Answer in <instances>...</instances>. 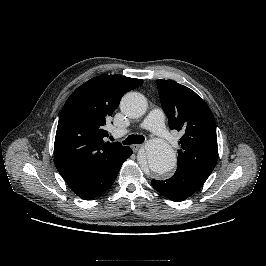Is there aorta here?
Here are the masks:
<instances>
[{"mask_svg":"<svg viewBox=\"0 0 266 266\" xmlns=\"http://www.w3.org/2000/svg\"><path fill=\"white\" fill-rule=\"evenodd\" d=\"M120 109L126 116L138 118L145 114L147 102L142 94L129 92L122 98ZM138 161L142 168H149L153 173L163 175L176 166V155L168 143L161 139H153L139 154Z\"/></svg>","mask_w":266,"mask_h":266,"instance_id":"obj_1","label":"aorta"}]
</instances>
